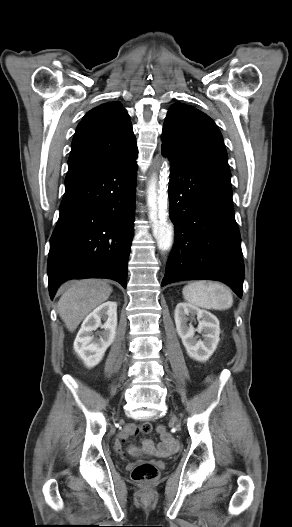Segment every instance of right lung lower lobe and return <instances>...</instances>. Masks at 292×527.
<instances>
[{
	"mask_svg": "<svg viewBox=\"0 0 292 527\" xmlns=\"http://www.w3.org/2000/svg\"><path fill=\"white\" fill-rule=\"evenodd\" d=\"M137 152L110 162L68 167L48 257L51 299L74 278L127 283L133 237Z\"/></svg>",
	"mask_w": 292,
	"mask_h": 527,
	"instance_id": "right-lung-lower-lobe-1",
	"label": "right lung lower lobe"
}]
</instances>
